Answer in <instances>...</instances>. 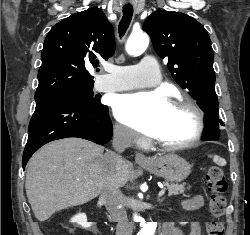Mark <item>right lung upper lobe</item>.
<instances>
[{
    "instance_id": "right-lung-upper-lobe-1",
    "label": "right lung upper lobe",
    "mask_w": 250,
    "mask_h": 235,
    "mask_svg": "<svg viewBox=\"0 0 250 235\" xmlns=\"http://www.w3.org/2000/svg\"><path fill=\"white\" fill-rule=\"evenodd\" d=\"M114 51L113 26L100 9L92 7L58 22L44 41L35 99L93 87L85 65L95 66Z\"/></svg>"
}]
</instances>
